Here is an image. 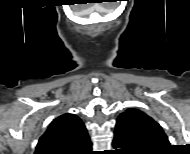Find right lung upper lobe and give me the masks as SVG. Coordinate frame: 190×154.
I'll return each mask as SVG.
<instances>
[{
	"instance_id": "cb5924a9",
	"label": "right lung upper lobe",
	"mask_w": 190,
	"mask_h": 154,
	"mask_svg": "<svg viewBox=\"0 0 190 154\" xmlns=\"http://www.w3.org/2000/svg\"><path fill=\"white\" fill-rule=\"evenodd\" d=\"M92 145L82 120L70 113L51 122L40 137L35 154H90Z\"/></svg>"
}]
</instances>
